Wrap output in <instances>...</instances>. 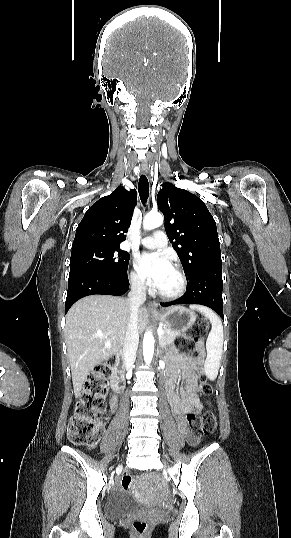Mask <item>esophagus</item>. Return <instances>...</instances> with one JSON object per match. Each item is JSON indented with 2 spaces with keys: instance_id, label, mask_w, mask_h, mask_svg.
<instances>
[{
  "instance_id": "esophagus-1",
  "label": "esophagus",
  "mask_w": 291,
  "mask_h": 538,
  "mask_svg": "<svg viewBox=\"0 0 291 538\" xmlns=\"http://www.w3.org/2000/svg\"><path fill=\"white\" fill-rule=\"evenodd\" d=\"M142 173L146 176L149 175V168L147 165H142ZM148 307L152 310V311H156L157 310V304L155 302H152V301H149L148 302Z\"/></svg>"
}]
</instances>
